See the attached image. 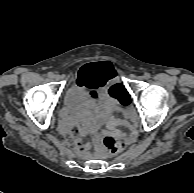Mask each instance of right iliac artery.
Returning <instances> with one entry per match:
<instances>
[{
	"mask_svg": "<svg viewBox=\"0 0 194 193\" xmlns=\"http://www.w3.org/2000/svg\"><path fill=\"white\" fill-rule=\"evenodd\" d=\"M47 75H48V77H53L54 74H53V72H48Z\"/></svg>",
	"mask_w": 194,
	"mask_h": 193,
	"instance_id": "1",
	"label": "right iliac artery"
}]
</instances>
